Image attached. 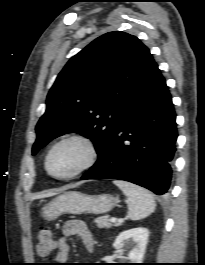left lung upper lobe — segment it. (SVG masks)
<instances>
[{
	"instance_id": "1",
	"label": "left lung upper lobe",
	"mask_w": 205,
	"mask_h": 265,
	"mask_svg": "<svg viewBox=\"0 0 205 265\" xmlns=\"http://www.w3.org/2000/svg\"><path fill=\"white\" fill-rule=\"evenodd\" d=\"M155 66L149 49L133 35L115 31L95 39L68 61L50 89L32 154L75 132L90 138L100 156Z\"/></svg>"
}]
</instances>
